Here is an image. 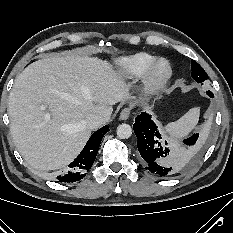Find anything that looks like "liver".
Here are the masks:
<instances>
[{
	"mask_svg": "<svg viewBox=\"0 0 233 233\" xmlns=\"http://www.w3.org/2000/svg\"><path fill=\"white\" fill-rule=\"evenodd\" d=\"M121 73L96 57L52 56L31 63L16 78L8 115L14 143L40 171L68 165L91 135L86 118H110L117 102L131 98Z\"/></svg>",
	"mask_w": 233,
	"mask_h": 233,
	"instance_id": "6515ba94",
	"label": "liver"
}]
</instances>
